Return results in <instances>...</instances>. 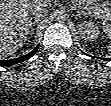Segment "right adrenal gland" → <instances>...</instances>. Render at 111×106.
I'll use <instances>...</instances> for the list:
<instances>
[{
	"label": "right adrenal gland",
	"instance_id": "obj_1",
	"mask_svg": "<svg viewBox=\"0 0 111 106\" xmlns=\"http://www.w3.org/2000/svg\"><path fill=\"white\" fill-rule=\"evenodd\" d=\"M37 23H38L37 20H35V21L32 23V25H31V27H30V33H29L30 36H29V38L32 37L33 32H34V27L36 26Z\"/></svg>",
	"mask_w": 111,
	"mask_h": 106
}]
</instances>
